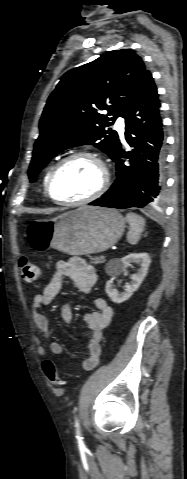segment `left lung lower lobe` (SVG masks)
I'll use <instances>...</instances> for the list:
<instances>
[{"mask_svg": "<svg viewBox=\"0 0 187 479\" xmlns=\"http://www.w3.org/2000/svg\"><path fill=\"white\" fill-rule=\"evenodd\" d=\"M126 140L133 154L120 150L116 162L117 179L112 187L90 205L118 209L154 205L165 191V142L157 88L149 75L125 117ZM130 159V164H125Z\"/></svg>", "mask_w": 187, "mask_h": 479, "instance_id": "1", "label": "left lung lower lobe"}]
</instances>
